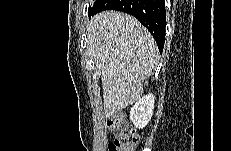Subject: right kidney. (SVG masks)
<instances>
[{"instance_id": "ca27d5eb", "label": "right kidney", "mask_w": 231, "mask_h": 151, "mask_svg": "<svg viewBox=\"0 0 231 151\" xmlns=\"http://www.w3.org/2000/svg\"><path fill=\"white\" fill-rule=\"evenodd\" d=\"M155 104V96L148 94L139 99L130 111V120L136 128H144L151 120Z\"/></svg>"}]
</instances>
